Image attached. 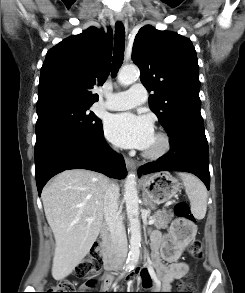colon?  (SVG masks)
Returning <instances> with one entry per match:
<instances>
[{"instance_id":"5ec220e1","label":"colon","mask_w":245,"mask_h":293,"mask_svg":"<svg viewBox=\"0 0 245 293\" xmlns=\"http://www.w3.org/2000/svg\"><path fill=\"white\" fill-rule=\"evenodd\" d=\"M174 213L179 221H176L171 229V235L174 239L184 235L188 228L187 223L194 221L189 206L186 202H178L174 206ZM190 255L196 260H200L203 257V243L201 240H194L189 247ZM103 261L101 252L99 251V244L97 243L93 251L76 267L75 276L89 280L92 275L102 267ZM89 285L93 286L94 282L89 281ZM180 291L186 292H173V293H193L188 283H182L179 288ZM78 288L69 280H60L54 284H51L46 292L43 293H87V292H76Z\"/></svg>"}]
</instances>
